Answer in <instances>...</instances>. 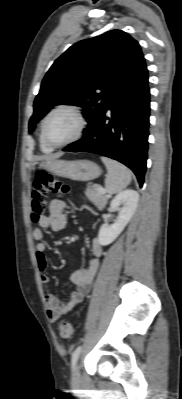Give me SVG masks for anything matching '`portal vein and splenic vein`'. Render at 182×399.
Instances as JSON below:
<instances>
[{
  "label": "portal vein and splenic vein",
  "mask_w": 182,
  "mask_h": 399,
  "mask_svg": "<svg viewBox=\"0 0 182 399\" xmlns=\"http://www.w3.org/2000/svg\"><path fill=\"white\" fill-rule=\"evenodd\" d=\"M101 192H102V193H105L106 191H105V189L102 188V189H101Z\"/></svg>",
  "instance_id": "portal-vein-and-splenic-vein-1"
}]
</instances>
